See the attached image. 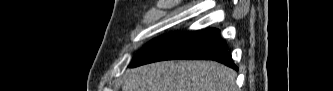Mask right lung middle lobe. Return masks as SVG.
I'll use <instances>...</instances> for the list:
<instances>
[{
	"label": "right lung middle lobe",
	"mask_w": 333,
	"mask_h": 91,
	"mask_svg": "<svg viewBox=\"0 0 333 91\" xmlns=\"http://www.w3.org/2000/svg\"><path fill=\"white\" fill-rule=\"evenodd\" d=\"M175 33V32H174ZM173 34V33H172ZM164 35L161 36L159 38H156L154 40H152L150 43H148L146 46H144L139 52L138 54L135 56V58L133 59L132 63H134L135 61H137L138 59H140L141 57H143L145 54H147L150 50H152L153 48H155L157 45H159L161 42H163L165 39H167L170 35ZM131 63V64H132Z\"/></svg>",
	"instance_id": "1"
}]
</instances>
